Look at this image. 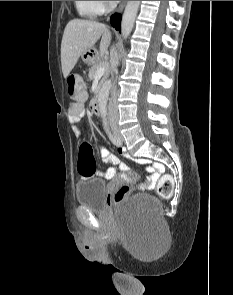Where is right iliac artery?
Returning a JSON list of instances; mask_svg holds the SVG:
<instances>
[{"instance_id": "obj_1", "label": "right iliac artery", "mask_w": 233, "mask_h": 295, "mask_svg": "<svg viewBox=\"0 0 233 295\" xmlns=\"http://www.w3.org/2000/svg\"><path fill=\"white\" fill-rule=\"evenodd\" d=\"M104 124H105L106 130H107L108 136H109L110 140L112 141V143L115 144L116 146H120L121 141L108 130L106 120L104 121Z\"/></svg>"}]
</instances>
